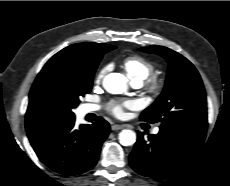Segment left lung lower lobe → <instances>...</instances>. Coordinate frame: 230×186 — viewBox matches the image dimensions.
I'll return each mask as SVG.
<instances>
[{
  "label": "left lung lower lobe",
  "instance_id": "obj_1",
  "mask_svg": "<svg viewBox=\"0 0 230 186\" xmlns=\"http://www.w3.org/2000/svg\"><path fill=\"white\" fill-rule=\"evenodd\" d=\"M207 123H179L160 126L156 135L144 139L138 132L130 166L137 173L154 179L174 176L191 161L203 145Z\"/></svg>",
  "mask_w": 230,
  "mask_h": 186
}]
</instances>
